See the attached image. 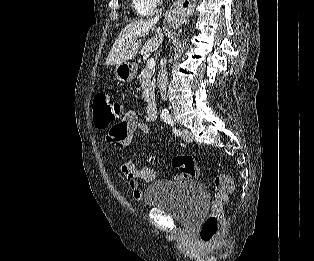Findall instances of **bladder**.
Listing matches in <instances>:
<instances>
[{
    "mask_svg": "<svg viewBox=\"0 0 314 261\" xmlns=\"http://www.w3.org/2000/svg\"><path fill=\"white\" fill-rule=\"evenodd\" d=\"M146 206L165 211L185 225H195L209 204L207 187L194 180H159L145 193Z\"/></svg>",
    "mask_w": 314,
    "mask_h": 261,
    "instance_id": "bladder-1",
    "label": "bladder"
}]
</instances>
